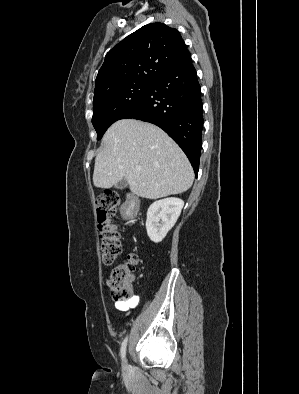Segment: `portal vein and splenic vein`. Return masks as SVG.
<instances>
[{"mask_svg": "<svg viewBox=\"0 0 299 394\" xmlns=\"http://www.w3.org/2000/svg\"><path fill=\"white\" fill-rule=\"evenodd\" d=\"M136 169H137L138 171H140V170H141V167L138 166V167H136Z\"/></svg>", "mask_w": 299, "mask_h": 394, "instance_id": "portal-vein-and-splenic-vein-1", "label": "portal vein and splenic vein"}]
</instances>
